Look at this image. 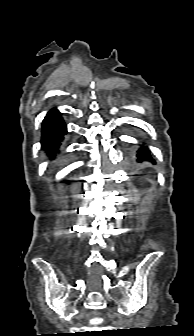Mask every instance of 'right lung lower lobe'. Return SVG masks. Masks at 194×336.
I'll list each match as a JSON object with an SVG mask.
<instances>
[{
	"instance_id": "98d812e1",
	"label": "right lung lower lobe",
	"mask_w": 194,
	"mask_h": 336,
	"mask_svg": "<svg viewBox=\"0 0 194 336\" xmlns=\"http://www.w3.org/2000/svg\"><path fill=\"white\" fill-rule=\"evenodd\" d=\"M66 133V124L62 120L61 114L57 110H51L43 120L41 139L42 147L51 159L55 157Z\"/></svg>"
}]
</instances>
